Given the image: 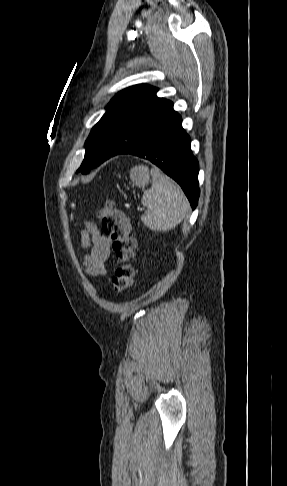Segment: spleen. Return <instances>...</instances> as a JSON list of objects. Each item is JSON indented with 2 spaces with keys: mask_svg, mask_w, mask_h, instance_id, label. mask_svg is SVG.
I'll return each mask as SVG.
<instances>
[{
  "mask_svg": "<svg viewBox=\"0 0 287 486\" xmlns=\"http://www.w3.org/2000/svg\"><path fill=\"white\" fill-rule=\"evenodd\" d=\"M151 175L152 186L141 199L147 207L141 220L152 231L167 232L184 219L189 203L180 187L159 169H152Z\"/></svg>",
  "mask_w": 287,
  "mask_h": 486,
  "instance_id": "spleen-1",
  "label": "spleen"
}]
</instances>
